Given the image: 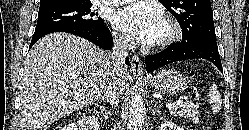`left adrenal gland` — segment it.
<instances>
[{"label": "left adrenal gland", "mask_w": 249, "mask_h": 130, "mask_svg": "<svg viewBox=\"0 0 249 130\" xmlns=\"http://www.w3.org/2000/svg\"><path fill=\"white\" fill-rule=\"evenodd\" d=\"M155 114H158V115L161 114V111L159 110L157 103H155V107H154L153 112H152L153 116H155Z\"/></svg>", "instance_id": "a2214340"}]
</instances>
